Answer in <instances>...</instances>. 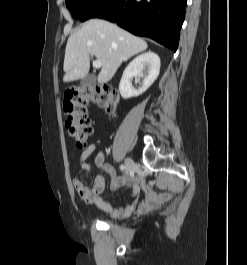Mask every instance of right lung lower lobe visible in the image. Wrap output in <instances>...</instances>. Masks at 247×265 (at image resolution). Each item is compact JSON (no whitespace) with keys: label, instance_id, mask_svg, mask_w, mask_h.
I'll list each match as a JSON object with an SVG mask.
<instances>
[{"label":"right lung lower lobe","instance_id":"1","mask_svg":"<svg viewBox=\"0 0 247 265\" xmlns=\"http://www.w3.org/2000/svg\"><path fill=\"white\" fill-rule=\"evenodd\" d=\"M187 0H101L81 21L103 18L129 32L177 50Z\"/></svg>","mask_w":247,"mask_h":265}]
</instances>
